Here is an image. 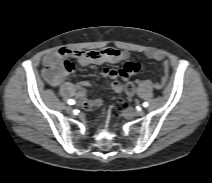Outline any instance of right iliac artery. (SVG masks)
I'll list each match as a JSON object with an SVG mask.
<instances>
[{
  "mask_svg": "<svg viewBox=\"0 0 212 183\" xmlns=\"http://www.w3.org/2000/svg\"><path fill=\"white\" fill-rule=\"evenodd\" d=\"M69 105H73L75 104V101L73 99H69L68 102H67Z\"/></svg>",
  "mask_w": 212,
  "mask_h": 183,
  "instance_id": "obj_1",
  "label": "right iliac artery"
}]
</instances>
